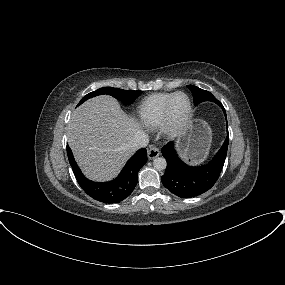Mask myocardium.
<instances>
[{
  "mask_svg": "<svg viewBox=\"0 0 285 285\" xmlns=\"http://www.w3.org/2000/svg\"><path fill=\"white\" fill-rule=\"evenodd\" d=\"M180 95H184L187 98L189 106L185 117L180 121H176L173 117V103ZM192 115L193 103L190 96L185 92L174 93V95L169 99L165 108L164 119L160 125L162 132L169 137H176L185 130L192 118Z\"/></svg>",
  "mask_w": 285,
  "mask_h": 285,
  "instance_id": "1",
  "label": "myocardium"
}]
</instances>
